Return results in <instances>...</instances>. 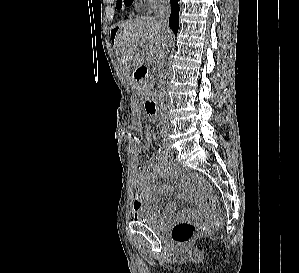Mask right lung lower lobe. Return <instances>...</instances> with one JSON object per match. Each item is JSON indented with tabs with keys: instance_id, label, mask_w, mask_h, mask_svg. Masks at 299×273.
Returning <instances> with one entry per match:
<instances>
[{
	"instance_id": "98d812e1",
	"label": "right lung lower lobe",
	"mask_w": 299,
	"mask_h": 273,
	"mask_svg": "<svg viewBox=\"0 0 299 273\" xmlns=\"http://www.w3.org/2000/svg\"><path fill=\"white\" fill-rule=\"evenodd\" d=\"M171 2V15L169 18V26L172 31L177 35L179 27V2L180 0H170Z\"/></svg>"
}]
</instances>
